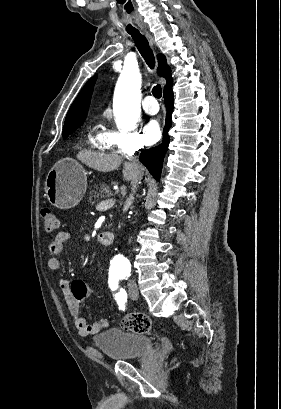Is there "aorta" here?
<instances>
[{
	"mask_svg": "<svg viewBox=\"0 0 281 409\" xmlns=\"http://www.w3.org/2000/svg\"><path fill=\"white\" fill-rule=\"evenodd\" d=\"M141 78L138 70L124 69L114 96L113 111L117 127L134 129L140 114L139 92Z\"/></svg>",
	"mask_w": 281,
	"mask_h": 409,
	"instance_id": "obj_1",
	"label": "aorta"
}]
</instances>
